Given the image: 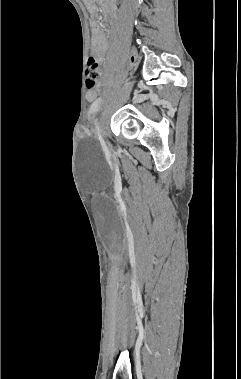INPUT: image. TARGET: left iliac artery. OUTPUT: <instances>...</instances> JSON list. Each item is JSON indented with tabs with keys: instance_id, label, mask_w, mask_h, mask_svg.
<instances>
[{
	"instance_id": "left-iliac-artery-1",
	"label": "left iliac artery",
	"mask_w": 241,
	"mask_h": 379,
	"mask_svg": "<svg viewBox=\"0 0 241 379\" xmlns=\"http://www.w3.org/2000/svg\"><path fill=\"white\" fill-rule=\"evenodd\" d=\"M96 131H97V135H98V137H99V140H100L101 144H102L103 146H105V142H104V139H103V137H102V135H101V130H100V126H99V124H96Z\"/></svg>"
}]
</instances>
